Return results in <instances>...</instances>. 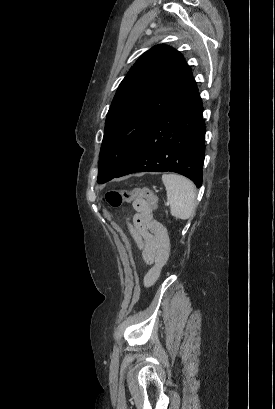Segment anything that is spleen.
Here are the masks:
<instances>
[{"mask_svg": "<svg viewBox=\"0 0 275 409\" xmlns=\"http://www.w3.org/2000/svg\"><path fill=\"white\" fill-rule=\"evenodd\" d=\"M167 190L170 213L176 219H189L196 207V186L180 174H162Z\"/></svg>", "mask_w": 275, "mask_h": 409, "instance_id": "obj_1", "label": "spleen"}]
</instances>
